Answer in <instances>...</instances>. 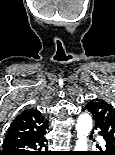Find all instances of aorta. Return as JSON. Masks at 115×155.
<instances>
[{"label": "aorta", "mask_w": 115, "mask_h": 155, "mask_svg": "<svg viewBox=\"0 0 115 155\" xmlns=\"http://www.w3.org/2000/svg\"><path fill=\"white\" fill-rule=\"evenodd\" d=\"M92 129V118L89 114L84 113L78 117L76 130L77 141L75 151H86L88 145V135Z\"/></svg>", "instance_id": "aorta-1"}]
</instances>
